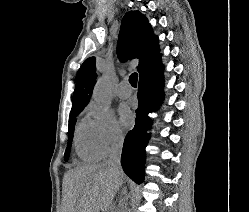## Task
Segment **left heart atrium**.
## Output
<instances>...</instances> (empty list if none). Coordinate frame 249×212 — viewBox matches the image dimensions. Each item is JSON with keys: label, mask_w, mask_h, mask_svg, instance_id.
Returning <instances> with one entry per match:
<instances>
[{"label": "left heart atrium", "mask_w": 249, "mask_h": 212, "mask_svg": "<svg viewBox=\"0 0 249 212\" xmlns=\"http://www.w3.org/2000/svg\"><path fill=\"white\" fill-rule=\"evenodd\" d=\"M119 121L124 129L131 128L134 123V115L127 108H120L119 110Z\"/></svg>", "instance_id": "left-heart-atrium-1"}]
</instances>
